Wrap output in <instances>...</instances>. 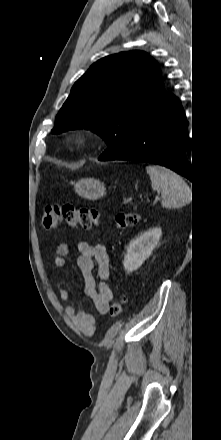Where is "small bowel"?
Masks as SVG:
<instances>
[{"label": "small bowel", "mask_w": 221, "mask_h": 440, "mask_svg": "<svg viewBox=\"0 0 221 440\" xmlns=\"http://www.w3.org/2000/svg\"><path fill=\"white\" fill-rule=\"evenodd\" d=\"M77 248L79 252L77 266L83 279L84 292L92 301L96 312L105 316L108 314L113 299V291L109 284L110 261L107 250L104 245H92L85 241L79 242ZM68 254V245L61 243L54 258V265L58 268H66ZM95 271L98 280L95 277ZM58 293L62 301L70 299V292L67 289L59 288ZM65 313L86 336L94 335L96 320L93 315L86 311H77L72 305L65 308Z\"/></svg>", "instance_id": "c3829d8e"}]
</instances>
